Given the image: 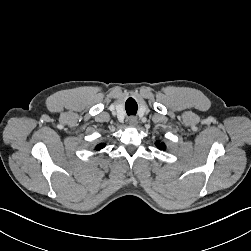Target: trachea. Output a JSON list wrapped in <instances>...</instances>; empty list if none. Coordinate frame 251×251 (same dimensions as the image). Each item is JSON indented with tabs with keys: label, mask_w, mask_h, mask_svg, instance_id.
Listing matches in <instances>:
<instances>
[{
	"label": "trachea",
	"mask_w": 251,
	"mask_h": 251,
	"mask_svg": "<svg viewBox=\"0 0 251 251\" xmlns=\"http://www.w3.org/2000/svg\"><path fill=\"white\" fill-rule=\"evenodd\" d=\"M125 109L128 115H136L138 106L136 103L130 104L129 102L126 103Z\"/></svg>",
	"instance_id": "1"
}]
</instances>
